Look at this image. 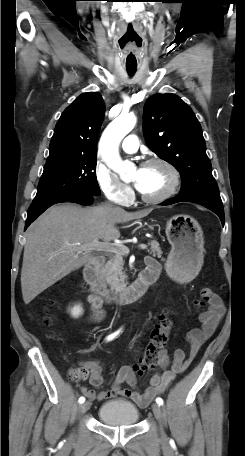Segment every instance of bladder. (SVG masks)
I'll return each mask as SVG.
<instances>
[{
    "instance_id": "bladder-1",
    "label": "bladder",
    "mask_w": 245,
    "mask_h": 456,
    "mask_svg": "<svg viewBox=\"0 0 245 456\" xmlns=\"http://www.w3.org/2000/svg\"><path fill=\"white\" fill-rule=\"evenodd\" d=\"M139 416L136 406L125 400H110L98 411L99 420L109 426H133Z\"/></svg>"
}]
</instances>
